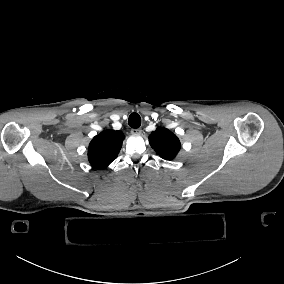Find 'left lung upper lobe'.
I'll use <instances>...</instances> for the list:
<instances>
[{"label": "left lung upper lobe", "instance_id": "5c2ea615", "mask_svg": "<svg viewBox=\"0 0 284 284\" xmlns=\"http://www.w3.org/2000/svg\"><path fill=\"white\" fill-rule=\"evenodd\" d=\"M149 143L155 152L165 160H173L181 148L177 136L164 127H159L151 133Z\"/></svg>", "mask_w": 284, "mask_h": 284}]
</instances>
